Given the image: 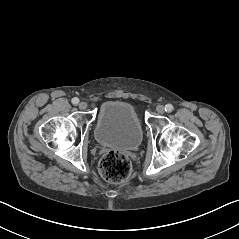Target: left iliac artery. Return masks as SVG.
I'll return each instance as SVG.
<instances>
[{"label":"left iliac artery","mask_w":239,"mask_h":239,"mask_svg":"<svg viewBox=\"0 0 239 239\" xmlns=\"http://www.w3.org/2000/svg\"><path fill=\"white\" fill-rule=\"evenodd\" d=\"M165 111L166 112H172L173 111V106L171 104L165 105Z\"/></svg>","instance_id":"1"}]
</instances>
